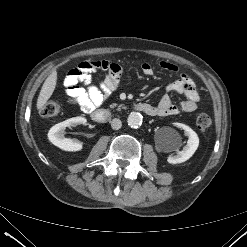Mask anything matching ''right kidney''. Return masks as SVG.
<instances>
[{"instance_id":"obj_1","label":"right kidney","mask_w":247,"mask_h":247,"mask_svg":"<svg viewBox=\"0 0 247 247\" xmlns=\"http://www.w3.org/2000/svg\"><path fill=\"white\" fill-rule=\"evenodd\" d=\"M86 122V118L78 116L58 123L49 130L48 139L52 144L64 151H80L83 148L82 143L75 139L65 138L64 130L66 127L85 124Z\"/></svg>"}]
</instances>
